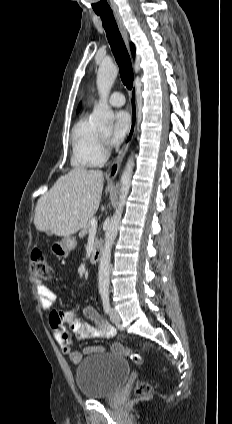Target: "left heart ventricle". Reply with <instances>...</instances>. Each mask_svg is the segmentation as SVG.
<instances>
[{
	"instance_id": "b2bd125f",
	"label": "left heart ventricle",
	"mask_w": 232,
	"mask_h": 424,
	"mask_svg": "<svg viewBox=\"0 0 232 424\" xmlns=\"http://www.w3.org/2000/svg\"><path fill=\"white\" fill-rule=\"evenodd\" d=\"M101 133H102L104 136H107V135L109 134V130H103Z\"/></svg>"
}]
</instances>
